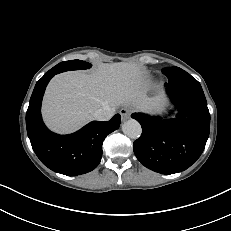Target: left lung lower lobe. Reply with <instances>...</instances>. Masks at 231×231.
<instances>
[{"instance_id":"0a47b994","label":"left lung lower lobe","mask_w":231,"mask_h":231,"mask_svg":"<svg viewBox=\"0 0 231 231\" xmlns=\"http://www.w3.org/2000/svg\"><path fill=\"white\" fill-rule=\"evenodd\" d=\"M167 94L179 113L172 120L134 113L142 135L134 142L137 159L147 168L173 174L190 167L202 154L210 130V113L200 83L186 71H164Z\"/></svg>"}]
</instances>
